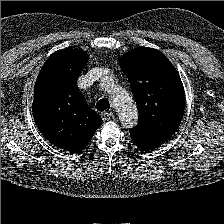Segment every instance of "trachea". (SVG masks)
I'll return each mask as SVG.
<instances>
[{"instance_id":"trachea-1","label":"trachea","mask_w":224,"mask_h":224,"mask_svg":"<svg viewBox=\"0 0 224 224\" xmlns=\"http://www.w3.org/2000/svg\"><path fill=\"white\" fill-rule=\"evenodd\" d=\"M96 107H97V109L100 110V111H104V110L109 109V103H108V100H107V99H100V100L97 102Z\"/></svg>"}]
</instances>
